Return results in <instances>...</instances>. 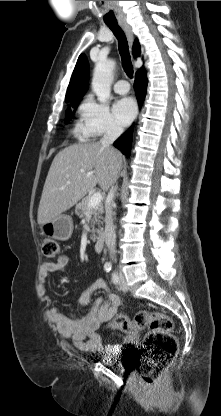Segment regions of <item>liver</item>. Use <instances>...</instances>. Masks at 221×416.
<instances>
[{"label": "liver", "mask_w": 221, "mask_h": 416, "mask_svg": "<svg viewBox=\"0 0 221 416\" xmlns=\"http://www.w3.org/2000/svg\"><path fill=\"white\" fill-rule=\"evenodd\" d=\"M122 159L119 151L112 153L100 142L73 144L61 150L46 177L38 207V224L47 223L70 209L97 184L104 192L108 191L118 178Z\"/></svg>", "instance_id": "obj_1"}]
</instances>
